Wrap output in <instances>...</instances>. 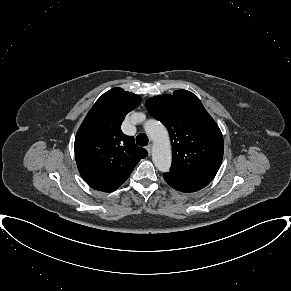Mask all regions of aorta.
<instances>
[{
  "label": "aorta",
  "mask_w": 291,
  "mask_h": 291,
  "mask_svg": "<svg viewBox=\"0 0 291 291\" xmlns=\"http://www.w3.org/2000/svg\"><path fill=\"white\" fill-rule=\"evenodd\" d=\"M146 133L154 143L152 160L161 172H168L172 162L171 144L166 127L156 120H148L144 124Z\"/></svg>",
  "instance_id": "1"
}]
</instances>
